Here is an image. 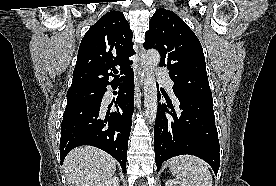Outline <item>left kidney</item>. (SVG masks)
Returning <instances> with one entry per match:
<instances>
[{
  "mask_svg": "<svg viewBox=\"0 0 276 186\" xmlns=\"http://www.w3.org/2000/svg\"><path fill=\"white\" fill-rule=\"evenodd\" d=\"M165 186H187L184 182H181L179 180L176 179H169Z\"/></svg>",
  "mask_w": 276,
  "mask_h": 186,
  "instance_id": "5707ae66",
  "label": "left kidney"
}]
</instances>
